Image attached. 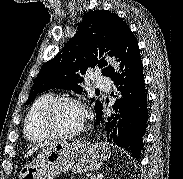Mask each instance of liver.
<instances>
[{
	"label": "liver",
	"instance_id": "6515ba94",
	"mask_svg": "<svg viewBox=\"0 0 183 179\" xmlns=\"http://www.w3.org/2000/svg\"><path fill=\"white\" fill-rule=\"evenodd\" d=\"M47 145V144H46ZM45 145L43 144H39L36 145L34 147H32L31 149L28 150V152L24 155V158H28L30 157L34 152H36L39 148L44 147Z\"/></svg>",
	"mask_w": 183,
	"mask_h": 179
}]
</instances>
